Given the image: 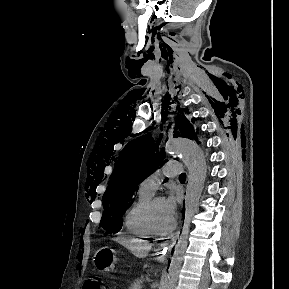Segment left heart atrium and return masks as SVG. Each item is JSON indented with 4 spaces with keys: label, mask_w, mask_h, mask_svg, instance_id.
I'll use <instances>...</instances> for the list:
<instances>
[{
    "label": "left heart atrium",
    "mask_w": 289,
    "mask_h": 289,
    "mask_svg": "<svg viewBox=\"0 0 289 289\" xmlns=\"http://www.w3.org/2000/svg\"><path fill=\"white\" fill-rule=\"evenodd\" d=\"M180 199V194L174 190L170 191L169 195L164 199L166 212L171 219L174 218L175 210Z\"/></svg>",
    "instance_id": "obj_1"
}]
</instances>
